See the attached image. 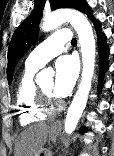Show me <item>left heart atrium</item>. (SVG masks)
Wrapping results in <instances>:
<instances>
[{
    "mask_svg": "<svg viewBox=\"0 0 114 156\" xmlns=\"http://www.w3.org/2000/svg\"><path fill=\"white\" fill-rule=\"evenodd\" d=\"M55 69L54 96L65 98L72 92L78 78V61L74 56H63L57 60Z\"/></svg>",
    "mask_w": 114,
    "mask_h": 156,
    "instance_id": "obj_1",
    "label": "left heart atrium"
}]
</instances>
